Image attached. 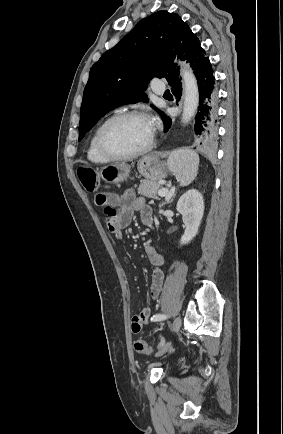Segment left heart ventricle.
<instances>
[{
  "mask_svg": "<svg viewBox=\"0 0 283 434\" xmlns=\"http://www.w3.org/2000/svg\"><path fill=\"white\" fill-rule=\"evenodd\" d=\"M152 130L149 121L139 118L126 119L110 126L104 135L106 146L116 153H131L143 148Z\"/></svg>",
  "mask_w": 283,
  "mask_h": 434,
  "instance_id": "obj_1",
  "label": "left heart ventricle"
}]
</instances>
